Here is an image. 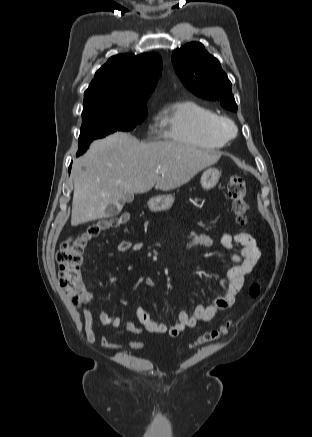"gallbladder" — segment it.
I'll return each mask as SVG.
<instances>
[{
  "instance_id": "gallbladder-1",
  "label": "gallbladder",
  "mask_w": 312,
  "mask_h": 437,
  "mask_svg": "<svg viewBox=\"0 0 312 437\" xmlns=\"http://www.w3.org/2000/svg\"><path fill=\"white\" fill-rule=\"evenodd\" d=\"M133 198V194L126 193L124 200H120L117 204H109L105 210V217L111 218L117 216L120 213L123 204L125 202H132Z\"/></svg>"
}]
</instances>
